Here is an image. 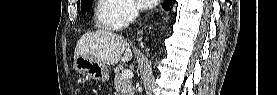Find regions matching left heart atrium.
Instances as JSON below:
<instances>
[{
	"mask_svg": "<svg viewBox=\"0 0 277 95\" xmlns=\"http://www.w3.org/2000/svg\"><path fill=\"white\" fill-rule=\"evenodd\" d=\"M140 6L144 8H152L156 4V0H137Z\"/></svg>",
	"mask_w": 277,
	"mask_h": 95,
	"instance_id": "left-heart-atrium-1",
	"label": "left heart atrium"
}]
</instances>
